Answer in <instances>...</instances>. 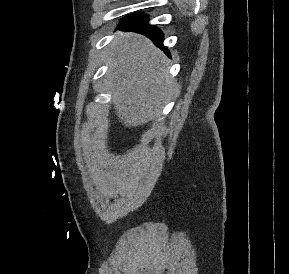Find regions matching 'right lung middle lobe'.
I'll list each match as a JSON object with an SVG mask.
<instances>
[{"mask_svg": "<svg viewBox=\"0 0 289 274\" xmlns=\"http://www.w3.org/2000/svg\"><path fill=\"white\" fill-rule=\"evenodd\" d=\"M139 15H140V13H138V14H131V15L125 17V18L121 21L120 26H121L122 24H124V23L132 20L133 18L139 16Z\"/></svg>", "mask_w": 289, "mask_h": 274, "instance_id": "obj_1", "label": "right lung middle lobe"}]
</instances>
